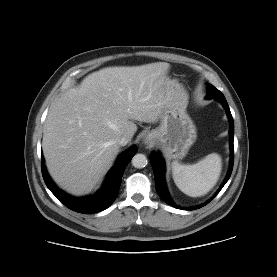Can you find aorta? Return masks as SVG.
Instances as JSON below:
<instances>
[{
  "label": "aorta",
  "instance_id": "762f6f07",
  "mask_svg": "<svg viewBox=\"0 0 277 277\" xmlns=\"http://www.w3.org/2000/svg\"><path fill=\"white\" fill-rule=\"evenodd\" d=\"M147 158L144 154H136L133 158H132V165L135 168H144L147 165Z\"/></svg>",
  "mask_w": 277,
  "mask_h": 277
}]
</instances>
